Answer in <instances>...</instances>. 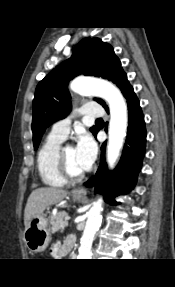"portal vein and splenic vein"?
<instances>
[{"instance_id":"portal-vein-and-splenic-vein-1","label":"portal vein and splenic vein","mask_w":175,"mask_h":287,"mask_svg":"<svg viewBox=\"0 0 175 287\" xmlns=\"http://www.w3.org/2000/svg\"><path fill=\"white\" fill-rule=\"evenodd\" d=\"M65 220H66V221H69V220H70V216L67 215V216L65 217Z\"/></svg>"}]
</instances>
